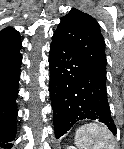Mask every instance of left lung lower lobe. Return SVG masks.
<instances>
[{
  "label": "left lung lower lobe",
  "mask_w": 124,
  "mask_h": 149,
  "mask_svg": "<svg viewBox=\"0 0 124 149\" xmlns=\"http://www.w3.org/2000/svg\"><path fill=\"white\" fill-rule=\"evenodd\" d=\"M49 92L56 138L77 122L104 123L116 135L106 92V75L54 32L49 55Z\"/></svg>",
  "instance_id": "0a47b994"
}]
</instances>
